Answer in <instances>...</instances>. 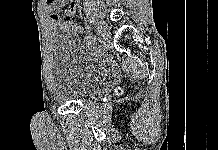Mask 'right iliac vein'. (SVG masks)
<instances>
[{"mask_svg":"<svg viewBox=\"0 0 218 150\" xmlns=\"http://www.w3.org/2000/svg\"><path fill=\"white\" fill-rule=\"evenodd\" d=\"M97 31L100 32V36L104 41H108L110 39V32L104 23H98Z\"/></svg>","mask_w":218,"mask_h":150,"instance_id":"63e3f726","label":"right iliac vein"}]
</instances>
